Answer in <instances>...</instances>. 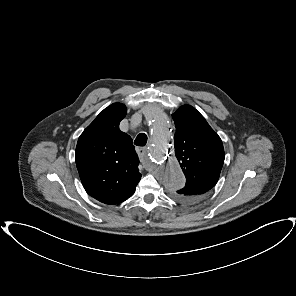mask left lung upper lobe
I'll return each instance as SVG.
<instances>
[{
    "label": "left lung upper lobe",
    "mask_w": 296,
    "mask_h": 296,
    "mask_svg": "<svg viewBox=\"0 0 296 296\" xmlns=\"http://www.w3.org/2000/svg\"><path fill=\"white\" fill-rule=\"evenodd\" d=\"M172 117L176 127L175 155L186 177L185 186L172 191V196L180 202H197L219 179L225 157L223 144L194 107L183 105Z\"/></svg>",
    "instance_id": "1"
}]
</instances>
